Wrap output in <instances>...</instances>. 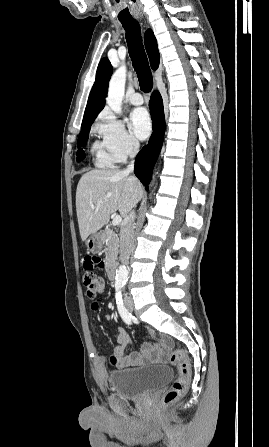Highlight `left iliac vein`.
<instances>
[{
  "label": "left iliac vein",
  "mask_w": 269,
  "mask_h": 447,
  "mask_svg": "<svg viewBox=\"0 0 269 447\" xmlns=\"http://www.w3.org/2000/svg\"><path fill=\"white\" fill-rule=\"evenodd\" d=\"M125 305L130 312L133 311V303L129 297L125 298Z\"/></svg>",
  "instance_id": "1"
}]
</instances>
